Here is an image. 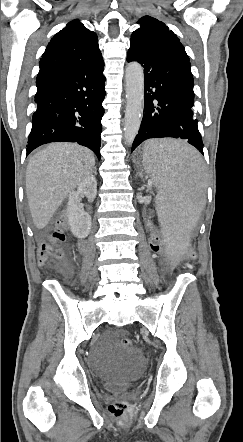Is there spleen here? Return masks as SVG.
Wrapping results in <instances>:
<instances>
[{
  "label": "spleen",
  "instance_id": "obj_1",
  "mask_svg": "<svg viewBox=\"0 0 243 442\" xmlns=\"http://www.w3.org/2000/svg\"><path fill=\"white\" fill-rule=\"evenodd\" d=\"M140 167L142 178H150V183L157 185L159 219L169 237L165 249L174 255L187 253L190 246L182 237H191L188 227L199 219L202 214L200 202L204 201L203 193H188L205 189L200 154L184 141L149 140L141 154Z\"/></svg>",
  "mask_w": 243,
  "mask_h": 442
}]
</instances>
